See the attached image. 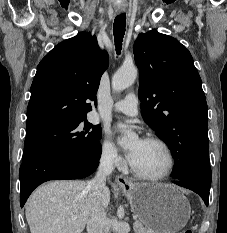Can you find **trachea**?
I'll list each match as a JSON object with an SVG mask.
<instances>
[{
  "instance_id": "trachea-1",
  "label": "trachea",
  "mask_w": 227,
  "mask_h": 233,
  "mask_svg": "<svg viewBox=\"0 0 227 233\" xmlns=\"http://www.w3.org/2000/svg\"><path fill=\"white\" fill-rule=\"evenodd\" d=\"M126 27V15L120 14L114 20L113 34L116 47V53L119 55L122 49L123 37L125 34Z\"/></svg>"
}]
</instances>
